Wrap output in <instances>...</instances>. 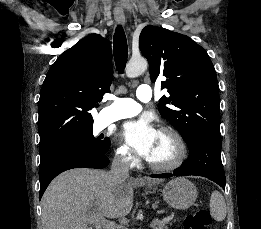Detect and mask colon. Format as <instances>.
Returning a JSON list of instances; mask_svg holds the SVG:
<instances>
[{
	"label": "colon",
	"instance_id": "5ec220e1",
	"mask_svg": "<svg viewBox=\"0 0 261 229\" xmlns=\"http://www.w3.org/2000/svg\"><path fill=\"white\" fill-rule=\"evenodd\" d=\"M211 217L206 209L188 214L184 220V229H210Z\"/></svg>",
	"mask_w": 261,
	"mask_h": 229
}]
</instances>
